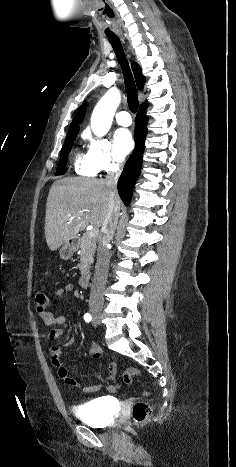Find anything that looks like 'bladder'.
<instances>
[{"label": "bladder", "instance_id": "1", "mask_svg": "<svg viewBox=\"0 0 236 467\" xmlns=\"http://www.w3.org/2000/svg\"><path fill=\"white\" fill-rule=\"evenodd\" d=\"M113 400L110 398H95L76 407L77 416L86 424L93 427H106L110 425L107 412L113 410Z\"/></svg>", "mask_w": 236, "mask_h": 467}]
</instances>
